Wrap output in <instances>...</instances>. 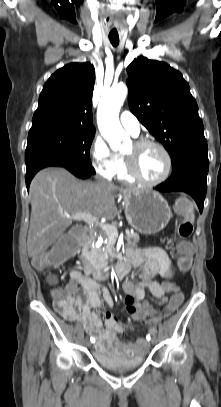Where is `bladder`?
I'll return each instance as SVG.
<instances>
[{"mask_svg":"<svg viewBox=\"0 0 221 407\" xmlns=\"http://www.w3.org/2000/svg\"><path fill=\"white\" fill-rule=\"evenodd\" d=\"M95 361L103 368L110 371L131 370L140 367L144 361V353L134 357H123L117 354L94 352Z\"/></svg>","mask_w":221,"mask_h":407,"instance_id":"bladder-1","label":"bladder"}]
</instances>
